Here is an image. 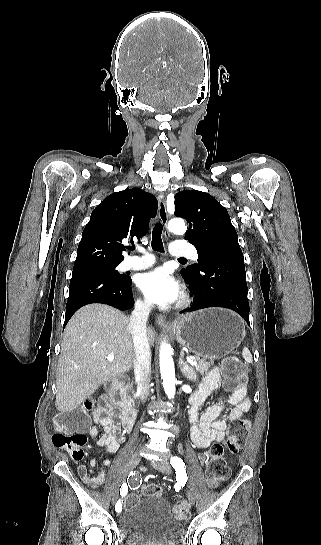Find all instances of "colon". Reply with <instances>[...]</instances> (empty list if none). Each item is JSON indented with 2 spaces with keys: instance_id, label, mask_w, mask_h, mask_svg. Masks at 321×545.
<instances>
[{
  "instance_id": "1",
  "label": "colon",
  "mask_w": 321,
  "mask_h": 545,
  "mask_svg": "<svg viewBox=\"0 0 321 545\" xmlns=\"http://www.w3.org/2000/svg\"><path fill=\"white\" fill-rule=\"evenodd\" d=\"M225 377L226 388L233 391H246L247 372L245 366L236 357L225 358L221 364ZM92 402L84 406L63 411L54 419V434L52 443L55 447L67 451L73 459L79 461L85 456L84 447L87 442L86 430L89 427L88 411ZM251 423L245 419L232 420L227 431V439L224 445L214 444L208 452V464L206 467V480L210 487H217L229 475V467L224 457V448L231 453H238L245 445ZM81 478L91 486H97L98 482L91 477L86 469H79ZM142 493L146 496L160 495L161 488L155 484L146 485ZM139 501L136 494H128L123 500L124 509L132 507ZM174 516L180 520H186L189 510L185 503H178L173 507Z\"/></svg>"
}]
</instances>
